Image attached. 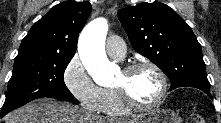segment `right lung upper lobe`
<instances>
[{
	"mask_svg": "<svg viewBox=\"0 0 221 123\" xmlns=\"http://www.w3.org/2000/svg\"><path fill=\"white\" fill-rule=\"evenodd\" d=\"M87 1H64L37 21L22 40L19 52H48L74 55L79 33L90 13Z\"/></svg>",
	"mask_w": 221,
	"mask_h": 123,
	"instance_id": "cb5924a9",
	"label": "right lung upper lobe"
}]
</instances>
